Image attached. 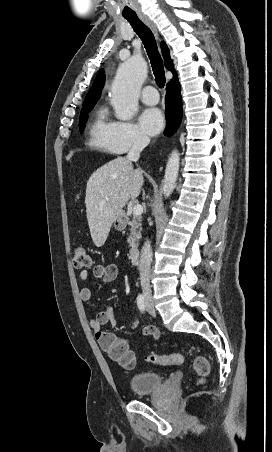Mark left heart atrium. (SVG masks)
I'll list each match as a JSON object with an SVG mask.
<instances>
[{"label":"left heart atrium","instance_id":"39dd6f15","mask_svg":"<svg viewBox=\"0 0 272 452\" xmlns=\"http://www.w3.org/2000/svg\"><path fill=\"white\" fill-rule=\"evenodd\" d=\"M142 129L149 135H156L164 125V119L158 108H148L140 116Z\"/></svg>","mask_w":272,"mask_h":452}]
</instances>
